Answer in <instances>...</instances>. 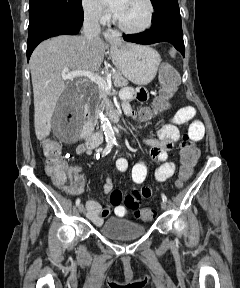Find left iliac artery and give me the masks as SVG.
<instances>
[{"mask_svg": "<svg viewBox=\"0 0 240 288\" xmlns=\"http://www.w3.org/2000/svg\"><path fill=\"white\" fill-rule=\"evenodd\" d=\"M114 144H115V145H118V143H117L116 141L114 142ZM161 197H162V200H163V201L167 202V197H166L165 194L162 193V194H161Z\"/></svg>", "mask_w": 240, "mask_h": 288, "instance_id": "44dca946", "label": "left iliac artery"}]
</instances>
